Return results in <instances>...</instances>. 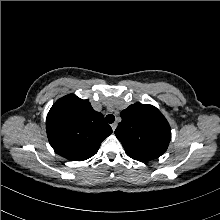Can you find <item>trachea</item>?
<instances>
[{"label": "trachea", "instance_id": "obj_1", "mask_svg": "<svg viewBox=\"0 0 220 220\" xmlns=\"http://www.w3.org/2000/svg\"><path fill=\"white\" fill-rule=\"evenodd\" d=\"M114 121H115V116H114L113 114H108V115L106 116V122H107V123L111 124V123H113Z\"/></svg>", "mask_w": 220, "mask_h": 220}]
</instances>
